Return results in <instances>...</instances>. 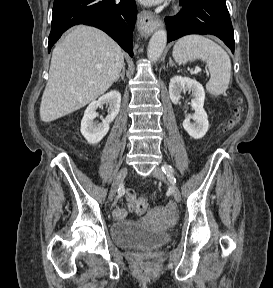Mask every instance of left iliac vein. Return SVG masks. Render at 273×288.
Masks as SVG:
<instances>
[{
  "instance_id": "obj_1",
  "label": "left iliac vein",
  "mask_w": 273,
  "mask_h": 288,
  "mask_svg": "<svg viewBox=\"0 0 273 288\" xmlns=\"http://www.w3.org/2000/svg\"><path fill=\"white\" fill-rule=\"evenodd\" d=\"M152 175L161 180V181H166V176L165 173L163 172V170L159 167L154 168V170L152 171ZM170 190L172 192V195L174 197V199L179 202L181 200V193L178 189V187L175 184L170 183Z\"/></svg>"
}]
</instances>
